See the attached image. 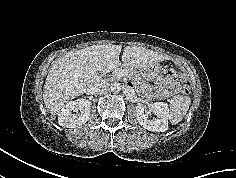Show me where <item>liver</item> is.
I'll return each mask as SVG.
<instances>
[{
    "mask_svg": "<svg viewBox=\"0 0 236 178\" xmlns=\"http://www.w3.org/2000/svg\"><path fill=\"white\" fill-rule=\"evenodd\" d=\"M121 45L99 44L70 51L57 59L48 72L43 88V100L51 114H58L65 104L88 92L106 74L120 65ZM168 56L150 49L126 46L122 54L127 68H145Z\"/></svg>",
    "mask_w": 236,
    "mask_h": 178,
    "instance_id": "obj_1",
    "label": "liver"
}]
</instances>
